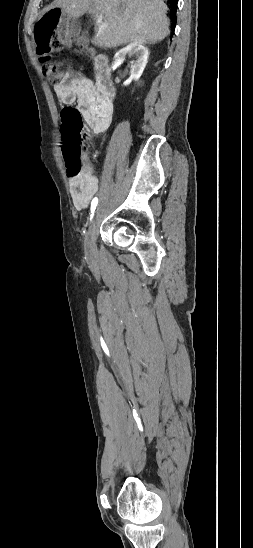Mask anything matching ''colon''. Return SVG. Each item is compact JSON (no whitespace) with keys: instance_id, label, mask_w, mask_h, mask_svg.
<instances>
[{"instance_id":"colon-1","label":"colon","mask_w":253,"mask_h":548,"mask_svg":"<svg viewBox=\"0 0 253 548\" xmlns=\"http://www.w3.org/2000/svg\"><path fill=\"white\" fill-rule=\"evenodd\" d=\"M67 28L62 26L59 11H50L35 25L37 49L42 56V71L52 85H58L66 71L67 64L51 59L50 53L63 45ZM63 154L69 176H77L82 171V130L83 122L80 112L75 107H66L62 113Z\"/></svg>"}]
</instances>
